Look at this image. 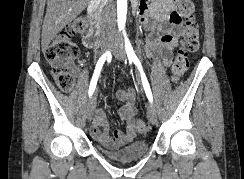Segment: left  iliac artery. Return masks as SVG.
<instances>
[{
    "instance_id": "obj_1",
    "label": "left iliac artery",
    "mask_w": 244,
    "mask_h": 179,
    "mask_svg": "<svg viewBox=\"0 0 244 179\" xmlns=\"http://www.w3.org/2000/svg\"><path fill=\"white\" fill-rule=\"evenodd\" d=\"M123 34H124V38H125V49H126L128 59L130 62H134V64L138 67L140 74H141L142 84H143L145 93H146L149 101L152 103L153 102L152 92H151L148 80H147L145 73L143 71L142 65H141L138 57L136 56L126 33L123 32Z\"/></svg>"
}]
</instances>
